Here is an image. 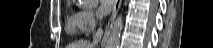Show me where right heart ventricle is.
Instances as JSON below:
<instances>
[{"label": "right heart ventricle", "mask_w": 213, "mask_h": 48, "mask_svg": "<svg viewBox=\"0 0 213 48\" xmlns=\"http://www.w3.org/2000/svg\"><path fill=\"white\" fill-rule=\"evenodd\" d=\"M81 14V11H77L71 6L68 7L65 19V27L69 34L78 35L83 32Z\"/></svg>", "instance_id": "obj_1"}]
</instances>
